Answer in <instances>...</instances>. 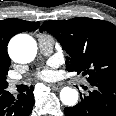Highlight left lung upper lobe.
<instances>
[{
	"label": "left lung upper lobe",
	"mask_w": 116,
	"mask_h": 116,
	"mask_svg": "<svg viewBox=\"0 0 116 116\" xmlns=\"http://www.w3.org/2000/svg\"><path fill=\"white\" fill-rule=\"evenodd\" d=\"M40 31L52 34L69 54L68 71L88 75L90 84L116 81V26L112 23L76 17L45 21Z\"/></svg>",
	"instance_id": "5c2ea615"
}]
</instances>
